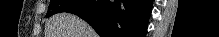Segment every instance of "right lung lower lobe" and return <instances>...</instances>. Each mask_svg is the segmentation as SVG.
I'll return each mask as SVG.
<instances>
[{
  "label": "right lung lower lobe",
  "mask_w": 219,
  "mask_h": 37,
  "mask_svg": "<svg viewBox=\"0 0 219 37\" xmlns=\"http://www.w3.org/2000/svg\"><path fill=\"white\" fill-rule=\"evenodd\" d=\"M151 0H80L64 12L78 15L101 37H144Z\"/></svg>",
  "instance_id": "obj_1"
}]
</instances>
